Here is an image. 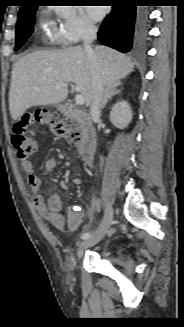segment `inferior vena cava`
Masks as SVG:
<instances>
[{
    "mask_svg": "<svg viewBox=\"0 0 184 327\" xmlns=\"http://www.w3.org/2000/svg\"><path fill=\"white\" fill-rule=\"evenodd\" d=\"M97 29L92 25H87L83 33V46L91 63L92 72V103L90 113L92 116L99 114L104 95V87L99 71V64L92 49V42L96 39Z\"/></svg>",
    "mask_w": 184,
    "mask_h": 327,
    "instance_id": "obj_1",
    "label": "inferior vena cava"
}]
</instances>
